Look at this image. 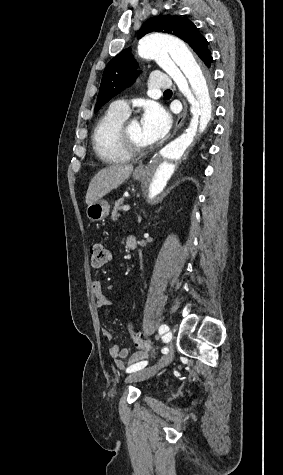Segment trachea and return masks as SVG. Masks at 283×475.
<instances>
[{
  "label": "trachea",
  "mask_w": 283,
  "mask_h": 475,
  "mask_svg": "<svg viewBox=\"0 0 283 475\" xmlns=\"http://www.w3.org/2000/svg\"><path fill=\"white\" fill-rule=\"evenodd\" d=\"M164 94L172 95V92H171V90H165Z\"/></svg>",
  "instance_id": "trachea-1"
}]
</instances>
